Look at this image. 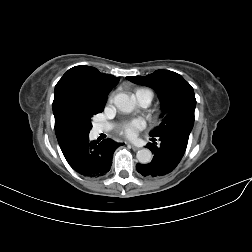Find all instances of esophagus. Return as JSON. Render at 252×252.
<instances>
[{"label": "esophagus", "mask_w": 252, "mask_h": 252, "mask_svg": "<svg viewBox=\"0 0 252 252\" xmlns=\"http://www.w3.org/2000/svg\"><path fill=\"white\" fill-rule=\"evenodd\" d=\"M131 147H132V149H133L134 151L139 150V147H138V146H135V145H133V144H131Z\"/></svg>", "instance_id": "34e87169"}]
</instances>
